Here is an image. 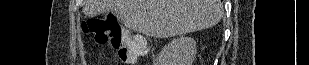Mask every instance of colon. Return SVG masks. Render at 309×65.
Segmentation results:
<instances>
[{
	"label": "colon",
	"mask_w": 309,
	"mask_h": 65,
	"mask_svg": "<svg viewBox=\"0 0 309 65\" xmlns=\"http://www.w3.org/2000/svg\"><path fill=\"white\" fill-rule=\"evenodd\" d=\"M83 31L100 44H110L125 63H133L147 49L146 43L121 27L111 16L91 17L82 22Z\"/></svg>",
	"instance_id": "1"
}]
</instances>
